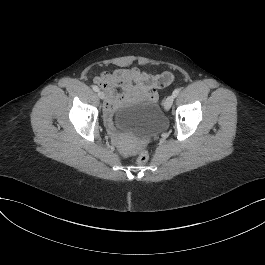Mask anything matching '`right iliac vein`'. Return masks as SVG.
Segmentation results:
<instances>
[{
	"label": "right iliac vein",
	"mask_w": 265,
	"mask_h": 265,
	"mask_svg": "<svg viewBox=\"0 0 265 265\" xmlns=\"http://www.w3.org/2000/svg\"><path fill=\"white\" fill-rule=\"evenodd\" d=\"M98 97H99L100 99H105V94H104V92L99 91V92H98Z\"/></svg>",
	"instance_id": "obj_1"
}]
</instances>
